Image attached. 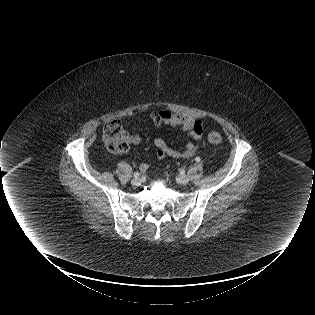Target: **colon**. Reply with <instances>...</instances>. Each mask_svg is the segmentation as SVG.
<instances>
[{"label": "colon", "mask_w": 315, "mask_h": 315, "mask_svg": "<svg viewBox=\"0 0 315 315\" xmlns=\"http://www.w3.org/2000/svg\"><path fill=\"white\" fill-rule=\"evenodd\" d=\"M207 139L213 145H219L223 141L221 134L216 131H211ZM103 140L107 149L112 153L123 154L128 150V135L118 120H112L104 126Z\"/></svg>", "instance_id": "colon-1"}]
</instances>
